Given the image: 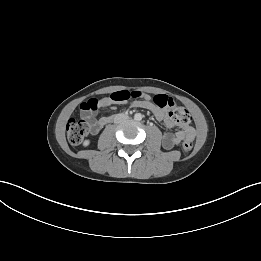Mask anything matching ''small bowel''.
<instances>
[{
    "mask_svg": "<svg viewBox=\"0 0 261 261\" xmlns=\"http://www.w3.org/2000/svg\"><path fill=\"white\" fill-rule=\"evenodd\" d=\"M107 105L111 106V102H108ZM136 106L151 111L157 120L162 121L167 127L173 128L176 126L169 116V110L160 109L153 101L150 100L149 96H145L144 100L136 102ZM111 116H103L99 119H92L90 124V132L92 134H97L106 124L110 122ZM194 129L185 125L178 129L173 134H165L163 136L162 144L166 150L173 149L177 144H179L186 137L194 136Z\"/></svg>",
    "mask_w": 261,
    "mask_h": 261,
    "instance_id": "small-bowel-1",
    "label": "small bowel"
}]
</instances>
